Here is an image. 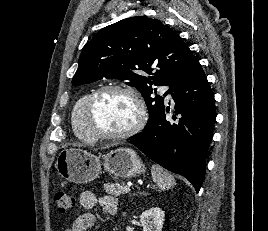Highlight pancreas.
Returning <instances> with one entry per match:
<instances>
[{"label": "pancreas", "instance_id": "cf45deb5", "mask_svg": "<svg viewBox=\"0 0 268 231\" xmlns=\"http://www.w3.org/2000/svg\"><path fill=\"white\" fill-rule=\"evenodd\" d=\"M104 190L113 196H119L124 193V183L115 182V183H106L104 184Z\"/></svg>", "mask_w": 268, "mask_h": 231}]
</instances>
